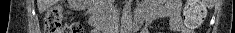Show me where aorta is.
Masks as SVG:
<instances>
[{"mask_svg": "<svg viewBox=\"0 0 235 33\" xmlns=\"http://www.w3.org/2000/svg\"><path fill=\"white\" fill-rule=\"evenodd\" d=\"M132 21V8L131 0H125V5L122 11L121 24L122 30L125 31L129 28Z\"/></svg>", "mask_w": 235, "mask_h": 33, "instance_id": "1", "label": "aorta"}]
</instances>
